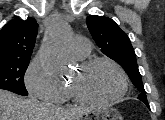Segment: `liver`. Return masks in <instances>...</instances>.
I'll return each instance as SVG.
<instances>
[{
	"label": "liver",
	"mask_w": 165,
	"mask_h": 120,
	"mask_svg": "<svg viewBox=\"0 0 165 120\" xmlns=\"http://www.w3.org/2000/svg\"><path fill=\"white\" fill-rule=\"evenodd\" d=\"M89 108L63 109L0 89V120H80Z\"/></svg>",
	"instance_id": "obj_1"
}]
</instances>
